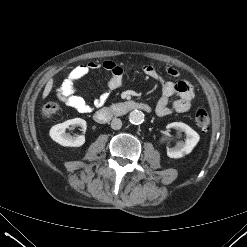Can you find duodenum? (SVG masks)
<instances>
[{"instance_id":"1","label":"duodenum","mask_w":247,"mask_h":247,"mask_svg":"<svg viewBox=\"0 0 247 247\" xmlns=\"http://www.w3.org/2000/svg\"><path fill=\"white\" fill-rule=\"evenodd\" d=\"M134 110H140L150 113L152 111V108L149 104L144 102H137L132 100L122 101L97 110L94 114V119L98 123L104 124L111 120L113 117L123 116Z\"/></svg>"}]
</instances>
